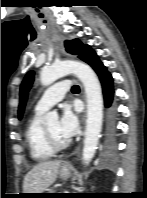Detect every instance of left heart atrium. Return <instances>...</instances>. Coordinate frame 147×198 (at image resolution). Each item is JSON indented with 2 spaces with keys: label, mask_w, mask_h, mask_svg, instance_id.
Instances as JSON below:
<instances>
[{
  "label": "left heart atrium",
  "mask_w": 147,
  "mask_h": 198,
  "mask_svg": "<svg viewBox=\"0 0 147 198\" xmlns=\"http://www.w3.org/2000/svg\"><path fill=\"white\" fill-rule=\"evenodd\" d=\"M78 129V120L76 115L68 107L64 108L60 121L58 122V131L61 138L69 141Z\"/></svg>",
  "instance_id": "39dd6f15"
}]
</instances>
